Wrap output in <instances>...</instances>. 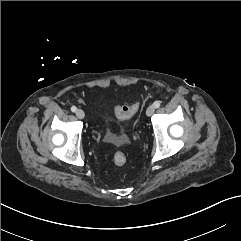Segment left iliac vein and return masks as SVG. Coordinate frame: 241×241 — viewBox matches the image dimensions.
<instances>
[{
    "instance_id": "obj_1",
    "label": "left iliac vein",
    "mask_w": 241,
    "mask_h": 241,
    "mask_svg": "<svg viewBox=\"0 0 241 241\" xmlns=\"http://www.w3.org/2000/svg\"><path fill=\"white\" fill-rule=\"evenodd\" d=\"M155 112V107L153 105H150L146 110V115L151 116Z\"/></svg>"
}]
</instances>
